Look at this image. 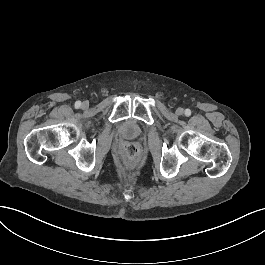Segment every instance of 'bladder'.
I'll return each instance as SVG.
<instances>
[{"label":"bladder","instance_id":"1","mask_svg":"<svg viewBox=\"0 0 265 265\" xmlns=\"http://www.w3.org/2000/svg\"><path fill=\"white\" fill-rule=\"evenodd\" d=\"M120 133L126 138H134L141 133V127L136 121L127 120L121 124Z\"/></svg>","mask_w":265,"mask_h":265}]
</instances>
